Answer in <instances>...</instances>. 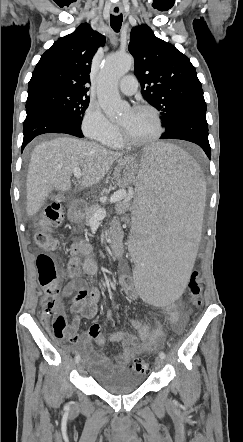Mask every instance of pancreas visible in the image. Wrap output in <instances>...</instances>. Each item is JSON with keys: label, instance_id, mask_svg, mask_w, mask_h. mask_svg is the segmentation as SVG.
I'll return each mask as SVG.
<instances>
[{"label": "pancreas", "instance_id": "1", "mask_svg": "<svg viewBox=\"0 0 243 442\" xmlns=\"http://www.w3.org/2000/svg\"><path fill=\"white\" fill-rule=\"evenodd\" d=\"M129 206H130L129 201H128L127 199H125V200L122 201V202H117V203H116V208H115V209H116V212H117L118 214H122V213H125L127 210H129ZM97 210H99V206H98V205L91 206V207H89V208L87 209V211H86V219H85V224H86V225H89V224H90V222H91V218H92L93 214H94Z\"/></svg>", "mask_w": 243, "mask_h": 442}]
</instances>
